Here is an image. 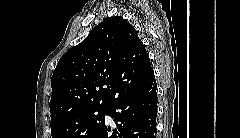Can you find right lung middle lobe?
I'll list each match as a JSON object with an SVG mask.
<instances>
[{"instance_id":"dd1d6c3e","label":"right lung middle lobe","mask_w":240,"mask_h":138,"mask_svg":"<svg viewBox=\"0 0 240 138\" xmlns=\"http://www.w3.org/2000/svg\"><path fill=\"white\" fill-rule=\"evenodd\" d=\"M108 107L86 109L51 123L52 138H93L105 123Z\"/></svg>"}]
</instances>
